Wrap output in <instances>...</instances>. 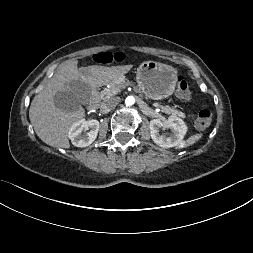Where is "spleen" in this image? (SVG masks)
<instances>
[{
    "instance_id": "obj_1",
    "label": "spleen",
    "mask_w": 253,
    "mask_h": 253,
    "mask_svg": "<svg viewBox=\"0 0 253 253\" xmlns=\"http://www.w3.org/2000/svg\"><path fill=\"white\" fill-rule=\"evenodd\" d=\"M202 137V134H196L191 136L187 141L181 142L180 147L190 146L198 141Z\"/></svg>"
}]
</instances>
